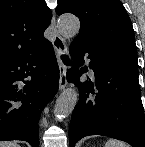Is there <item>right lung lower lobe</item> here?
Segmentation results:
<instances>
[{
    "label": "right lung lower lobe",
    "mask_w": 145,
    "mask_h": 147,
    "mask_svg": "<svg viewBox=\"0 0 145 147\" xmlns=\"http://www.w3.org/2000/svg\"><path fill=\"white\" fill-rule=\"evenodd\" d=\"M30 77V81H24ZM17 81L26 85L21 89ZM59 85L52 44L0 66V141L23 140L39 147L38 121Z\"/></svg>",
    "instance_id": "right-lung-lower-lobe-1"
}]
</instances>
